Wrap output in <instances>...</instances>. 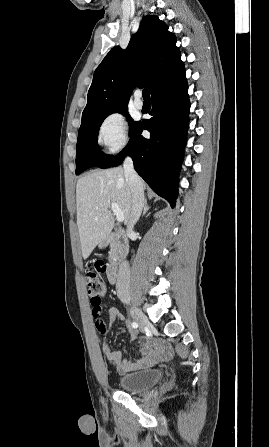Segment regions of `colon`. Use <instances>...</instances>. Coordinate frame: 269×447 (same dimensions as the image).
Listing matches in <instances>:
<instances>
[{
    "instance_id": "colon-1",
    "label": "colon",
    "mask_w": 269,
    "mask_h": 447,
    "mask_svg": "<svg viewBox=\"0 0 269 447\" xmlns=\"http://www.w3.org/2000/svg\"><path fill=\"white\" fill-rule=\"evenodd\" d=\"M100 267H106L105 263L100 262L99 258H94L93 263H90L89 266L84 268L85 285L87 293L91 297L92 310L95 312L92 314L93 318H96V313L101 310L98 297L104 296L107 293V284L97 275ZM95 329L97 331H104L106 329V324L104 322H97L95 324Z\"/></svg>"
}]
</instances>
